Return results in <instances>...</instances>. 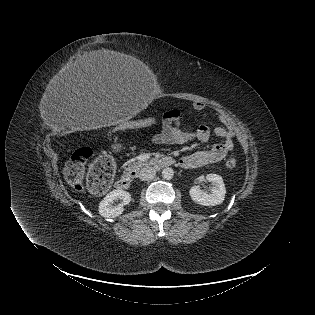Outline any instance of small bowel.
<instances>
[{"label":"small bowel","instance_id":"c3829d8e","mask_svg":"<svg viewBox=\"0 0 315 315\" xmlns=\"http://www.w3.org/2000/svg\"><path fill=\"white\" fill-rule=\"evenodd\" d=\"M194 113L202 111L205 106L201 102H192ZM218 118L222 126L215 127L213 133L224 139L222 143L213 145L206 150L197 151L184 156L179 160L180 166L186 169L203 167L222 161L228 153L234 149L233 137L234 129L228 118L223 113H218ZM181 112L177 109L167 111L162 118L161 131L155 134L152 140L158 144L182 145L191 141L206 142L209 140L212 130L206 125L197 128L181 127Z\"/></svg>","mask_w":315,"mask_h":315}]
</instances>
